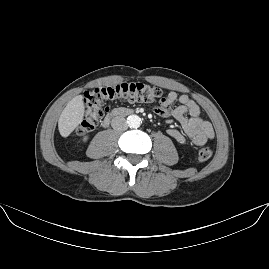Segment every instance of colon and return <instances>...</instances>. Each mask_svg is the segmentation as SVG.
<instances>
[{
  "mask_svg": "<svg viewBox=\"0 0 269 269\" xmlns=\"http://www.w3.org/2000/svg\"><path fill=\"white\" fill-rule=\"evenodd\" d=\"M163 89L156 85L129 82L106 87H90L84 92L85 113L83 120L76 129V135L82 136L90 132L105 116L108 105L119 101L153 103L163 99ZM211 146L201 149L196 161L204 162L213 156Z\"/></svg>",
  "mask_w": 269,
  "mask_h": 269,
  "instance_id": "1",
  "label": "colon"
}]
</instances>
